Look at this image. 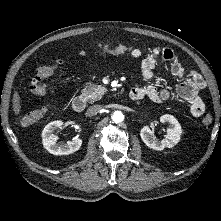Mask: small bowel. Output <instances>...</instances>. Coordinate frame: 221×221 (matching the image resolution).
Listing matches in <instances>:
<instances>
[{"label":"small bowel","mask_w":221,"mask_h":221,"mask_svg":"<svg viewBox=\"0 0 221 221\" xmlns=\"http://www.w3.org/2000/svg\"><path fill=\"white\" fill-rule=\"evenodd\" d=\"M103 52L116 55L128 54L133 58H139L146 54L142 60L141 69L143 77L149 81L155 80L154 69L159 59L169 62L173 75L181 79L176 88V95L186 103L193 117L198 118L204 114L205 105L200 97V92L205 88L202 76L196 71H190L186 74L171 49L156 47L151 50H143L139 47H131L128 53L109 50ZM132 92L137 100L148 97L157 103H168L172 99V93L169 90L151 84L136 87L132 89Z\"/></svg>","instance_id":"small-bowel-1"}]
</instances>
